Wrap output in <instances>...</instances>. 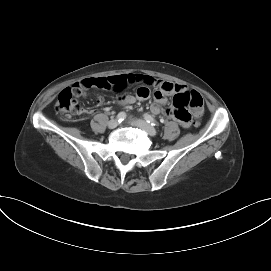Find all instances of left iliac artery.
<instances>
[{
	"instance_id": "1",
	"label": "left iliac artery",
	"mask_w": 271,
	"mask_h": 271,
	"mask_svg": "<svg viewBox=\"0 0 271 271\" xmlns=\"http://www.w3.org/2000/svg\"><path fill=\"white\" fill-rule=\"evenodd\" d=\"M145 120L150 123L152 126L157 125V121L149 114H144Z\"/></svg>"
}]
</instances>
